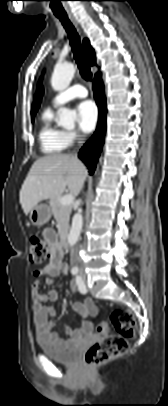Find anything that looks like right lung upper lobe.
Returning <instances> with one entry per match:
<instances>
[{
	"label": "right lung upper lobe",
	"mask_w": 168,
	"mask_h": 406,
	"mask_svg": "<svg viewBox=\"0 0 168 406\" xmlns=\"http://www.w3.org/2000/svg\"><path fill=\"white\" fill-rule=\"evenodd\" d=\"M83 46H84V53L86 55V58H87L89 64L90 65H95V63H96L95 62V53H94L93 48L90 46V42H89L88 39H84ZM98 75H100V74H96L95 77L98 76ZM38 90H39V93L36 95V97L34 99V102H33V105H32V109H31L32 118H34V116H35V114H36V112H37V110H38V108L40 106L41 96L43 94V88H42L41 79L39 81Z\"/></svg>",
	"instance_id": "obj_1"
}]
</instances>
